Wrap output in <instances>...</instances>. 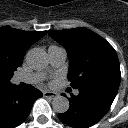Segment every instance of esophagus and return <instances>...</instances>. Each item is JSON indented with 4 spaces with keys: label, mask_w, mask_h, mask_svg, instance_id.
<instances>
[{
    "label": "esophagus",
    "mask_w": 128,
    "mask_h": 128,
    "mask_svg": "<svg viewBox=\"0 0 128 128\" xmlns=\"http://www.w3.org/2000/svg\"><path fill=\"white\" fill-rule=\"evenodd\" d=\"M43 96L46 97V98H55L57 96V93L55 92H52V91H44L43 92Z\"/></svg>",
    "instance_id": "1"
}]
</instances>
